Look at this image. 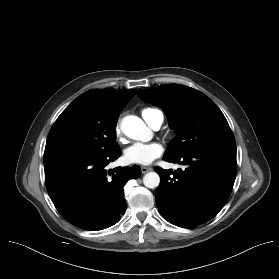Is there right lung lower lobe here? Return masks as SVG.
Returning <instances> with one entry per match:
<instances>
[{"instance_id":"1","label":"right lung lower lobe","mask_w":279,"mask_h":279,"mask_svg":"<svg viewBox=\"0 0 279 279\" xmlns=\"http://www.w3.org/2000/svg\"><path fill=\"white\" fill-rule=\"evenodd\" d=\"M121 155L63 151L44 155L47 191L58 212L85 230H102L116 224L126 210L123 187L141 175L140 167L106 166Z\"/></svg>"}]
</instances>
